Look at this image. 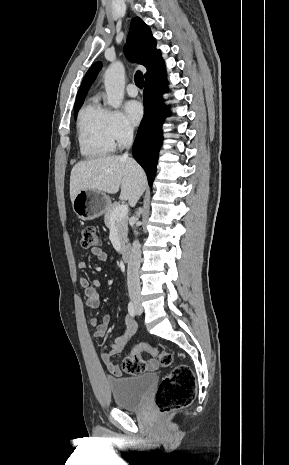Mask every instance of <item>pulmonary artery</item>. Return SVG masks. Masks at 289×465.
<instances>
[{"label":"pulmonary artery","mask_w":289,"mask_h":465,"mask_svg":"<svg viewBox=\"0 0 289 465\" xmlns=\"http://www.w3.org/2000/svg\"><path fill=\"white\" fill-rule=\"evenodd\" d=\"M127 94L131 97H135L138 95V89L135 84L130 83L126 87Z\"/></svg>","instance_id":"e3ab8cb5"}]
</instances>
